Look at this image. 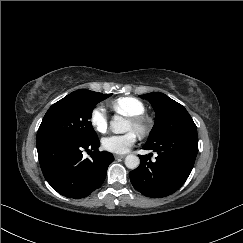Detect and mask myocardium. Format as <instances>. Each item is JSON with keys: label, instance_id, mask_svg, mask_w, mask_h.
<instances>
[{"label": "myocardium", "instance_id": "obj_1", "mask_svg": "<svg viewBox=\"0 0 243 243\" xmlns=\"http://www.w3.org/2000/svg\"><path fill=\"white\" fill-rule=\"evenodd\" d=\"M128 120L133 123L136 134L140 138H146L152 129L151 121L144 115L129 116Z\"/></svg>", "mask_w": 243, "mask_h": 243}]
</instances>
